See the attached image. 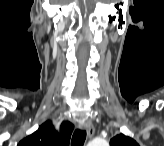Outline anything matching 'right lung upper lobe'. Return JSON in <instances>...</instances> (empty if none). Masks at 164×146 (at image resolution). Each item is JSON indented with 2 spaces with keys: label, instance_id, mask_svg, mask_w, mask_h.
Masks as SVG:
<instances>
[{
  "label": "right lung upper lobe",
  "instance_id": "cb5924a9",
  "mask_svg": "<svg viewBox=\"0 0 164 146\" xmlns=\"http://www.w3.org/2000/svg\"><path fill=\"white\" fill-rule=\"evenodd\" d=\"M73 125L64 122L61 132L55 131L52 122L46 121L37 131L20 141L18 146H66L69 145Z\"/></svg>",
  "mask_w": 164,
  "mask_h": 146
}]
</instances>
